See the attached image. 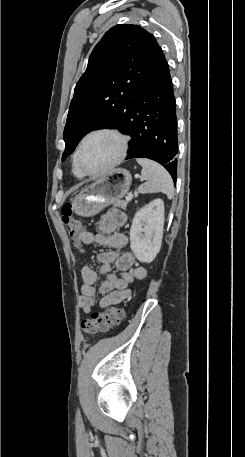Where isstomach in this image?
Returning <instances> with one entry per match:
<instances>
[{
  "mask_svg": "<svg viewBox=\"0 0 245 457\" xmlns=\"http://www.w3.org/2000/svg\"><path fill=\"white\" fill-rule=\"evenodd\" d=\"M132 182V174L127 168H113L87 188H83L74 200L72 208L80 216H94L108 204H114L127 194Z\"/></svg>",
  "mask_w": 245,
  "mask_h": 457,
  "instance_id": "obj_1",
  "label": "stomach"
}]
</instances>
